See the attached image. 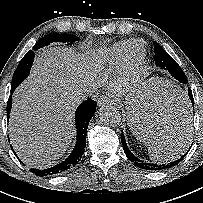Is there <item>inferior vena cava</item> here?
Wrapping results in <instances>:
<instances>
[{
	"mask_svg": "<svg viewBox=\"0 0 203 203\" xmlns=\"http://www.w3.org/2000/svg\"><path fill=\"white\" fill-rule=\"evenodd\" d=\"M90 94H91L90 88H80L75 92L74 98L77 102H81V100L86 99L87 96H89Z\"/></svg>",
	"mask_w": 203,
	"mask_h": 203,
	"instance_id": "inferior-vena-cava-1",
	"label": "inferior vena cava"
}]
</instances>
